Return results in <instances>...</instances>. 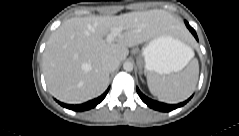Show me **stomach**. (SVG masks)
Wrapping results in <instances>:
<instances>
[{"label": "stomach", "instance_id": "1", "mask_svg": "<svg viewBox=\"0 0 239 136\" xmlns=\"http://www.w3.org/2000/svg\"><path fill=\"white\" fill-rule=\"evenodd\" d=\"M189 51L175 33L162 32L143 47L141 64L147 72L158 75L179 72L189 60Z\"/></svg>", "mask_w": 239, "mask_h": 136}]
</instances>
